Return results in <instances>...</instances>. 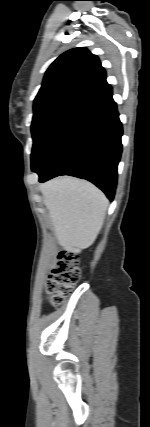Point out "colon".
I'll return each instance as SVG.
<instances>
[{
    "label": "colon",
    "mask_w": 150,
    "mask_h": 427,
    "mask_svg": "<svg viewBox=\"0 0 150 427\" xmlns=\"http://www.w3.org/2000/svg\"><path fill=\"white\" fill-rule=\"evenodd\" d=\"M81 277L78 257L72 252H61L57 263L47 281V292L50 302L58 306L72 291Z\"/></svg>",
    "instance_id": "1"
}]
</instances>
